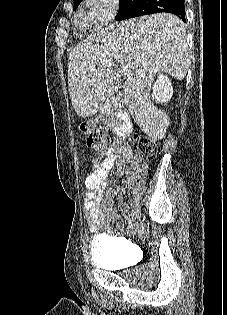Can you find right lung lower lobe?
<instances>
[{
    "mask_svg": "<svg viewBox=\"0 0 227 315\" xmlns=\"http://www.w3.org/2000/svg\"><path fill=\"white\" fill-rule=\"evenodd\" d=\"M162 12L172 13L186 21L184 0H133L119 7L116 19L125 20Z\"/></svg>",
    "mask_w": 227,
    "mask_h": 315,
    "instance_id": "right-lung-lower-lobe-1",
    "label": "right lung lower lobe"
}]
</instances>
